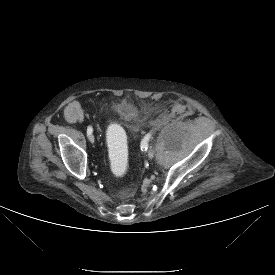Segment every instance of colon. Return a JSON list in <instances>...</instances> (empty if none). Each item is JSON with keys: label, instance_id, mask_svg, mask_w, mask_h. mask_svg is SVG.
<instances>
[{"label": "colon", "instance_id": "colon-1", "mask_svg": "<svg viewBox=\"0 0 275 275\" xmlns=\"http://www.w3.org/2000/svg\"><path fill=\"white\" fill-rule=\"evenodd\" d=\"M107 137L111 172L117 177L124 176L128 170V147L125 134L120 128L111 126L108 129Z\"/></svg>", "mask_w": 275, "mask_h": 275}]
</instances>
